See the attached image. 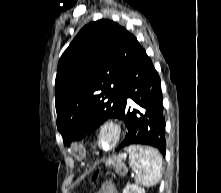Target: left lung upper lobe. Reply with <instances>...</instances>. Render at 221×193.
Segmentation results:
<instances>
[{
  "label": "left lung upper lobe",
  "instance_id": "5c2ea615",
  "mask_svg": "<svg viewBox=\"0 0 221 193\" xmlns=\"http://www.w3.org/2000/svg\"><path fill=\"white\" fill-rule=\"evenodd\" d=\"M140 44L110 20L83 27L59 60L55 82L57 127L69 145L98 128L107 118L122 116L121 85ZM156 109L146 112L148 126Z\"/></svg>",
  "mask_w": 221,
  "mask_h": 193
}]
</instances>
